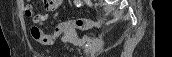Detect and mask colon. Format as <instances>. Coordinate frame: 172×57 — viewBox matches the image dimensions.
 <instances>
[{"label": "colon", "instance_id": "obj_1", "mask_svg": "<svg viewBox=\"0 0 172 57\" xmlns=\"http://www.w3.org/2000/svg\"><path fill=\"white\" fill-rule=\"evenodd\" d=\"M26 13L28 15H31V10L29 8H27ZM70 26L76 27L80 30H87V29H92V28L98 27V23L94 20L78 18V19L71 20L69 22H63V23L59 24L55 28V33L61 34L62 32L66 31ZM40 36H41V33H38L36 35V38H39Z\"/></svg>", "mask_w": 172, "mask_h": 57}]
</instances>
